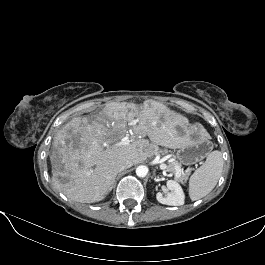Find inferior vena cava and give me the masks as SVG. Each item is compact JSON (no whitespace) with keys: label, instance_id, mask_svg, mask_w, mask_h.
I'll return each instance as SVG.
<instances>
[{"label":"inferior vena cava","instance_id":"1","mask_svg":"<svg viewBox=\"0 0 265 265\" xmlns=\"http://www.w3.org/2000/svg\"><path fill=\"white\" fill-rule=\"evenodd\" d=\"M132 165H133V162L127 159V160L120 161L117 164L116 168L118 172H121L127 168H130Z\"/></svg>","mask_w":265,"mask_h":265}]
</instances>
